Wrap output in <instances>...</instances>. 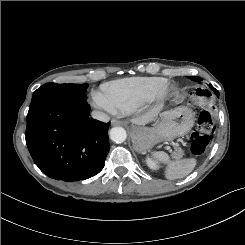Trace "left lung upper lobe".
I'll list each match as a JSON object with an SVG mask.
<instances>
[{
  "mask_svg": "<svg viewBox=\"0 0 245 245\" xmlns=\"http://www.w3.org/2000/svg\"><path fill=\"white\" fill-rule=\"evenodd\" d=\"M190 79L195 81V82L202 81V79L200 77H197V76H192V77H190ZM210 88L215 92V94L217 93L216 95L219 94L218 91L214 87L210 86Z\"/></svg>",
  "mask_w": 245,
  "mask_h": 245,
  "instance_id": "obj_1",
  "label": "left lung upper lobe"
}]
</instances>
